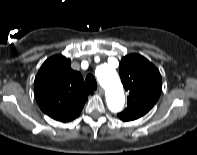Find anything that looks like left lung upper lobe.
<instances>
[{"label": "left lung upper lobe", "mask_w": 197, "mask_h": 155, "mask_svg": "<svg viewBox=\"0 0 197 155\" xmlns=\"http://www.w3.org/2000/svg\"><path fill=\"white\" fill-rule=\"evenodd\" d=\"M119 72L129 96L127 108L117 116L123 121H133L144 116L157 102L162 89L161 75L152 63L139 54L123 57Z\"/></svg>", "instance_id": "1"}]
</instances>
